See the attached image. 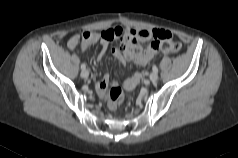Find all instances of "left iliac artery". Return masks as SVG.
<instances>
[{
  "mask_svg": "<svg viewBox=\"0 0 238 158\" xmlns=\"http://www.w3.org/2000/svg\"><path fill=\"white\" fill-rule=\"evenodd\" d=\"M152 69H153L154 72H158V68H157L156 65H153Z\"/></svg>",
  "mask_w": 238,
  "mask_h": 158,
  "instance_id": "1",
  "label": "left iliac artery"
}]
</instances>
